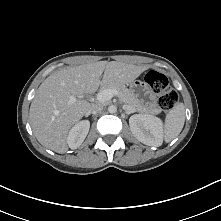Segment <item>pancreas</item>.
<instances>
[{
	"label": "pancreas",
	"instance_id": "1",
	"mask_svg": "<svg viewBox=\"0 0 221 221\" xmlns=\"http://www.w3.org/2000/svg\"><path fill=\"white\" fill-rule=\"evenodd\" d=\"M106 89H113L117 91L118 97L124 103L128 104L131 109H137L141 112H149L153 114H158L161 112V110L158 108H148L147 106H142L139 100L133 95V93H131V91L122 84H110L101 87V91Z\"/></svg>",
	"mask_w": 221,
	"mask_h": 221
}]
</instances>
